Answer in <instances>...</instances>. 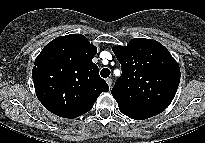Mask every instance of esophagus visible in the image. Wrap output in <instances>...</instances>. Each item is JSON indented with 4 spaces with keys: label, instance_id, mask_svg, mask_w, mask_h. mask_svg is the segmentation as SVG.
Masks as SVG:
<instances>
[{
    "label": "esophagus",
    "instance_id": "obj_1",
    "mask_svg": "<svg viewBox=\"0 0 205 143\" xmlns=\"http://www.w3.org/2000/svg\"><path fill=\"white\" fill-rule=\"evenodd\" d=\"M106 82H107V84H108L109 87L112 86V79H111V78H107V79H106Z\"/></svg>",
    "mask_w": 205,
    "mask_h": 143
}]
</instances>
